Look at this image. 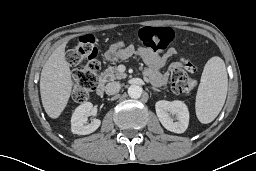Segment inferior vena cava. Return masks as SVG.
Masks as SVG:
<instances>
[{
  "label": "inferior vena cava",
  "mask_w": 256,
  "mask_h": 171,
  "mask_svg": "<svg viewBox=\"0 0 256 171\" xmlns=\"http://www.w3.org/2000/svg\"><path fill=\"white\" fill-rule=\"evenodd\" d=\"M121 85L119 82H110L105 87V92L108 95H113L119 92Z\"/></svg>",
  "instance_id": "1"
}]
</instances>
